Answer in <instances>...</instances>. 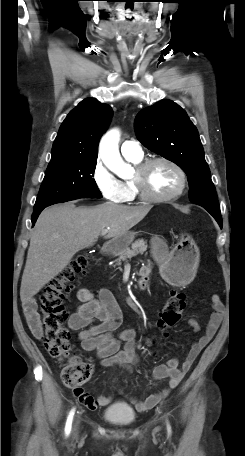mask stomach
<instances>
[{"label": "stomach", "mask_w": 245, "mask_h": 456, "mask_svg": "<svg viewBox=\"0 0 245 456\" xmlns=\"http://www.w3.org/2000/svg\"><path fill=\"white\" fill-rule=\"evenodd\" d=\"M134 232H127L113 240L117 250L128 248L135 238ZM152 254L159 264L161 275L175 286L189 283L199 262V249L187 233H182L178 243L169 251L166 242L159 236L151 239Z\"/></svg>", "instance_id": "0dacf381"}]
</instances>
